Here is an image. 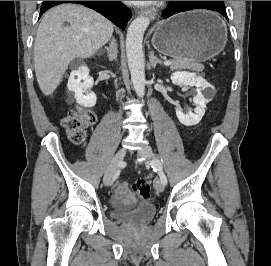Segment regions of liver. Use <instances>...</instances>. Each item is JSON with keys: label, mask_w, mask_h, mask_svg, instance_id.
Returning <instances> with one entry per match:
<instances>
[{"label": "liver", "mask_w": 271, "mask_h": 266, "mask_svg": "<svg viewBox=\"0 0 271 266\" xmlns=\"http://www.w3.org/2000/svg\"><path fill=\"white\" fill-rule=\"evenodd\" d=\"M113 31L109 20L84 6L62 4L50 9L39 25L33 55L43 94H53L69 63L91 57L110 40Z\"/></svg>", "instance_id": "6515ba94"}]
</instances>
